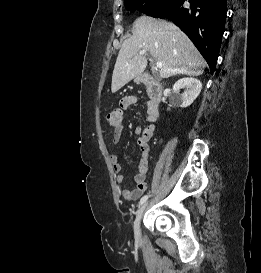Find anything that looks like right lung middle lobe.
<instances>
[{
  "instance_id": "obj_1",
  "label": "right lung middle lobe",
  "mask_w": 261,
  "mask_h": 273,
  "mask_svg": "<svg viewBox=\"0 0 261 273\" xmlns=\"http://www.w3.org/2000/svg\"><path fill=\"white\" fill-rule=\"evenodd\" d=\"M171 1L172 0H124V3L128 11L134 12L139 10L148 16H152Z\"/></svg>"
}]
</instances>
